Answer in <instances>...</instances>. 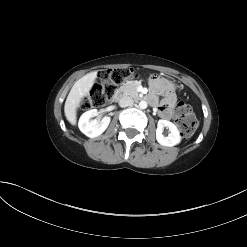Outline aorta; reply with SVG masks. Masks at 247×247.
<instances>
[{"mask_svg": "<svg viewBox=\"0 0 247 247\" xmlns=\"http://www.w3.org/2000/svg\"><path fill=\"white\" fill-rule=\"evenodd\" d=\"M147 106H148V104H147L146 101L142 100V101L139 102V108L140 109H146Z\"/></svg>", "mask_w": 247, "mask_h": 247, "instance_id": "762f6f07", "label": "aorta"}]
</instances>
